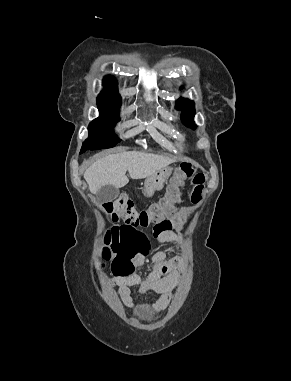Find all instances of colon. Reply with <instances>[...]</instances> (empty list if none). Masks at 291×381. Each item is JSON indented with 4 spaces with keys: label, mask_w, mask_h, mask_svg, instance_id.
I'll list each match as a JSON object with an SVG mask.
<instances>
[{
    "label": "colon",
    "mask_w": 291,
    "mask_h": 381,
    "mask_svg": "<svg viewBox=\"0 0 291 381\" xmlns=\"http://www.w3.org/2000/svg\"><path fill=\"white\" fill-rule=\"evenodd\" d=\"M185 178H193L191 198L194 202L201 199L203 185L198 174L189 165L181 167L178 176L174 177L167 193L158 201L144 209H138L134 202L119 196L103 204V210L113 220H123L124 226L107 230L102 237L100 253L103 261H112L116 270H132V259L137 254V241L145 236L144 231L154 229L167 230L168 220L174 215L180 197V186Z\"/></svg>",
    "instance_id": "5ec220e1"
}]
</instances>
